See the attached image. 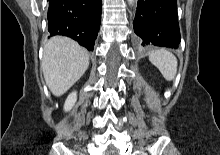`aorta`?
Segmentation results:
<instances>
[{
    "label": "aorta",
    "mask_w": 220,
    "mask_h": 155,
    "mask_svg": "<svg viewBox=\"0 0 220 155\" xmlns=\"http://www.w3.org/2000/svg\"><path fill=\"white\" fill-rule=\"evenodd\" d=\"M128 3L133 6L137 3V0H128Z\"/></svg>",
    "instance_id": "762f6f07"
}]
</instances>
